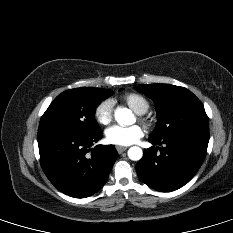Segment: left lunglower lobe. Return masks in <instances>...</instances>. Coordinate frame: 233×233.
I'll list each match as a JSON object with an SVG mask.
<instances>
[{"instance_id": "left-lung-lower-lobe-1", "label": "left lung lower lobe", "mask_w": 233, "mask_h": 233, "mask_svg": "<svg viewBox=\"0 0 233 233\" xmlns=\"http://www.w3.org/2000/svg\"><path fill=\"white\" fill-rule=\"evenodd\" d=\"M149 142L153 146L136 164L137 174L149 187L170 192L188 183L199 170L206 156L209 132L190 131L160 140L149 138Z\"/></svg>"}]
</instances>
